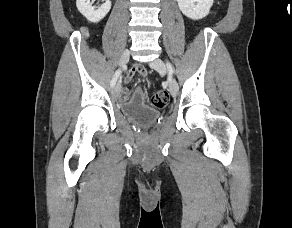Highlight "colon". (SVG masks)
Instances as JSON below:
<instances>
[{
	"label": "colon",
	"mask_w": 292,
	"mask_h": 228,
	"mask_svg": "<svg viewBox=\"0 0 292 228\" xmlns=\"http://www.w3.org/2000/svg\"><path fill=\"white\" fill-rule=\"evenodd\" d=\"M151 103L155 108L162 109L169 103V95L166 91H157L152 95Z\"/></svg>",
	"instance_id": "colon-1"
}]
</instances>
